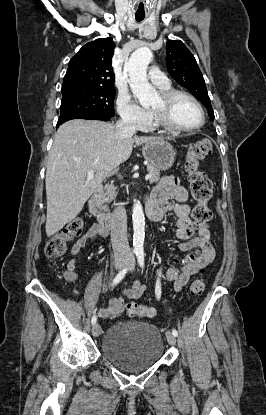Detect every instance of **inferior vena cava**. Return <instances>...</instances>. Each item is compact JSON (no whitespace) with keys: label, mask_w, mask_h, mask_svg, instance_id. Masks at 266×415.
<instances>
[{"label":"inferior vena cava","mask_w":266,"mask_h":415,"mask_svg":"<svg viewBox=\"0 0 266 415\" xmlns=\"http://www.w3.org/2000/svg\"><path fill=\"white\" fill-rule=\"evenodd\" d=\"M116 136L118 140L136 133L135 123L123 117L115 124ZM111 242L115 257H132L127 237V215L122 203L116 204L111 219Z\"/></svg>","instance_id":"inferior-vena-cava-1"}]
</instances>
